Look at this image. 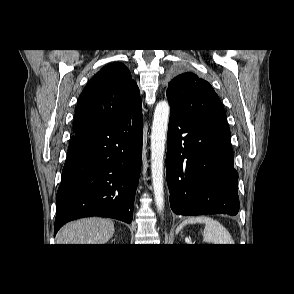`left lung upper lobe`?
I'll return each instance as SVG.
<instances>
[{
	"instance_id": "5c2ea615",
	"label": "left lung upper lobe",
	"mask_w": 294,
	"mask_h": 294,
	"mask_svg": "<svg viewBox=\"0 0 294 294\" xmlns=\"http://www.w3.org/2000/svg\"><path fill=\"white\" fill-rule=\"evenodd\" d=\"M171 111L193 121H226L221 101L205 80L192 72L175 76L167 89Z\"/></svg>"
}]
</instances>
